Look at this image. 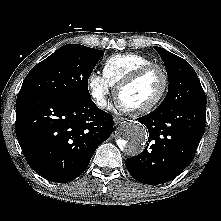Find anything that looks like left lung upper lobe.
Returning <instances> with one entry per match:
<instances>
[{
  "label": "left lung upper lobe",
  "instance_id": "5c2ea615",
  "mask_svg": "<svg viewBox=\"0 0 221 221\" xmlns=\"http://www.w3.org/2000/svg\"><path fill=\"white\" fill-rule=\"evenodd\" d=\"M169 77L168 93L158 108L173 109L188 104H206V96L192 66L181 57L154 47Z\"/></svg>",
  "mask_w": 221,
  "mask_h": 221
}]
</instances>
